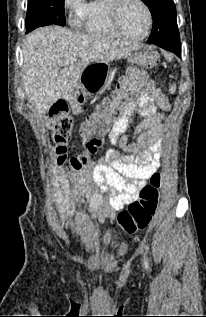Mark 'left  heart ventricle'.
<instances>
[{
  "mask_svg": "<svg viewBox=\"0 0 206 317\" xmlns=\"http://www.w3.org/2000/svg\"><path fill=\"white\" fill-rule=\"evenodd\" d=\"M122 29L131 36L142 35L147 28V16L143 7L135 0L128 1L120 15Z\"/></svg>",
  "mask_w": 206,
  "mask_h": 317,
  "instance_id": "1",
  "label": "left heart ventricle"
}]
</instances>
